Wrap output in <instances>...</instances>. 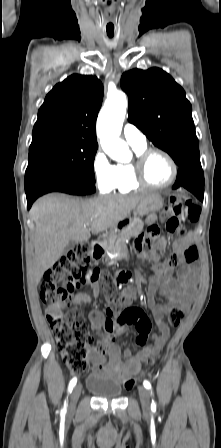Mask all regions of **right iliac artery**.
Instances as JSON below:
<instances>
[{"instance_id":"1","label":"right iliac artery","mask_w":221,"mask_h":448,"mask_svg":"<svg viewBox=\"0 0 221 448\" xmlns=\"http://www.w3.org/2000/svg\"><path fill=\"white\" fill-rule=\"evenodd\" d=\"M76 383H77V378L76 377H74L71 381H70V383H69V386H68V392L69 393H71L72 392V389H73V387L76 385ZM66 401H65V404H64V408H63V412L65 413V411H66Z\"/></svg>"}]
</instances>
